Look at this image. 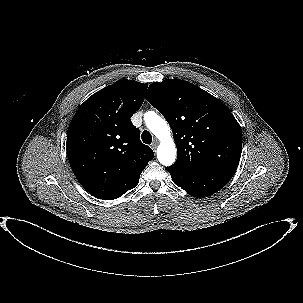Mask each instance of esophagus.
<instances>
[{
	"label": "esophagus",
	"instance_id": "esophagus-1",
	"mask_svg": "<svg viewBox=\"0 0 303 303\" xmlns=\"http://www.w3.org/2000/svg\"><path fill=\"white\" fill-rule=\"evenodd\" d=\"M158 146V140H154L153 143L151 144V148L153 151H156Z\"/></svg>",
	"mask_w": 303,
	"mask_h": 303
}]
</instances>
